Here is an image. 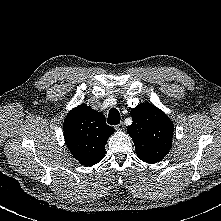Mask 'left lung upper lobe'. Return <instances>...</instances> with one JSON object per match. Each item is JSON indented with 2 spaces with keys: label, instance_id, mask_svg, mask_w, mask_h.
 <instances>
[{
  "label": "left lung upper lobe",
  "instance_id": "1",
  "mask_svg": "<svg viewBox=\"0 0 221 221\" xmlns=\"http://www.w3.org/2000/svg\"><path fill=\"white\" fill-rule=\"evenodd\" d=\"M130 114L133 123L127 132L134 141L137 156L146 163L161 161L172 147V121L148 103H140Z\"/></svg>",
  "mask_w": 221,
  "mask_h": 221
}]
</instances>
